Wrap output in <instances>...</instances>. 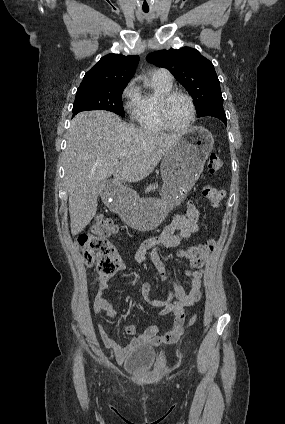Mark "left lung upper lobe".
<instances>
[{
    "mask_svg": "<svg viewBox=\"0 0 285 424\" xmlns=\"http://www.w3.org/2000/svg\"><path fill=\"white\" fill-rule=\"evenodd\" d=\"M147 61L168 69L192 96L197 116L209 107L223 104L220 83L211 61L190 47L155 51Z\"/></svg>",
    "mask_w": 285,
    "mask_h": 424,
    "instance_id": "obj_1",
    "label": "left lung upper lobe"
}]
</instances>
